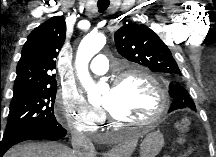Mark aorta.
<instances>
[{
    "label": "aorta",
    "instance_id": "1",
    "mask_svg": "<svg viewBox=\"0 0 216 157\" xmlns=\"http://www.w3.org/2000/svg\"><path fill=\"white\" fill-rule=\"evenodd\" d=\"M106 38L103 34L87 35L80 42L75 65L77 69V76L87 91L88 101L90 103L99 102L101 100V88L95 84L88 71V64L90 60L104 47Z\"/></svg>",
    "mask_w": 216,
    "mask_h": 157
}]
</instances>
